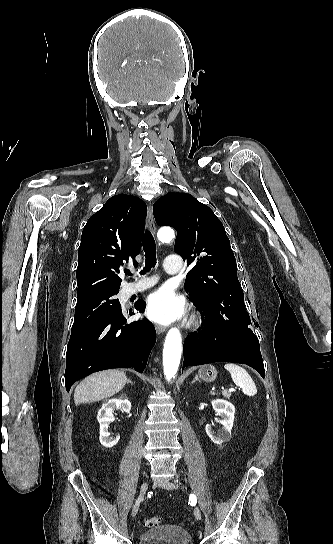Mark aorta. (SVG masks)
<instances>
[{"mask_svg":"<svg viewBox=\"0 0 333 544\" xmlns=\"http://www.w3.org/2000/svg\"><path fill=\"white\" fill-rule=\"evenodd\" d=\"M174 237V231L169 227L161 228L158 231L160 241L168 243ZM182 353L181 333L177 328H171L166 336L163 349V369L168 381L177 374Z\"/></svg>","mask_w":333,"mask_h":544,"instance_id":"obj_1","label":"aorta"}]
</instances>
